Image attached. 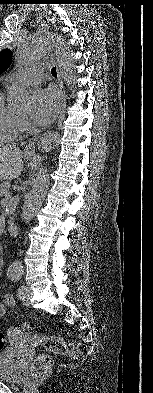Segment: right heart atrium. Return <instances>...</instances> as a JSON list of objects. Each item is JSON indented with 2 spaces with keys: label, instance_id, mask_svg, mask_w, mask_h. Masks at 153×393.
Instances as JSON below:
<instances>
[{
  "label": "right heart atrium",
  "instance_id": "right-heart-atrium-1",
  "mask_svg": "<svg viewBox=\"0 0 153 393\" xmlns=\"http://www.w3.org/2000/svg\"><path fill=\"white\" fill-rule=\"evenodd\" d=\"M23 127L27 130L29 128V124L27 122H23Z\"/></svg>",
  "mask_w": 153,
  "mask_h": 393
}]
</instances>
